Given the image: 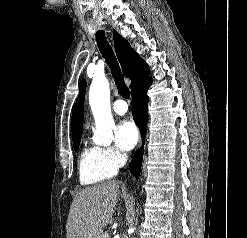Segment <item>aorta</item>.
<instances>
[{
    "label": "aorta",
    "instance_id": "762f6f07",
    "mask_svg": "<svg viewBox=\"0 0 247 238\" xmlns=\"http://www.w3.org/2000/svg\"><path fill=\"white\" fill-rule=\"evenodd\" d=\"M89 103L95 120L94 143L110 145L113 140L114 120L110 107V87L105 78L93 79L89 90Z\"/></svg>",
    "mask_w": 247,
    "mask_h": 238
}]
</instances>
